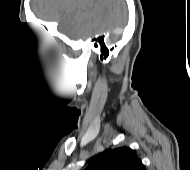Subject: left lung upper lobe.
Returning a JSON list of instances; mask_svg holds the SVG:
<instances>
[{"label": "left lung upper lobe", "instance_id": "5c2ea615", "mask_svg": "<svg viewBox=\"0 0 190 170\" xmlns=\"http://www.w3.org/2000/svg\"><path fill=\"white\" fill-rule=\"evenodd\" d=\"M86 170H146L136 152L128 147L108 149L95 156Z\"/></svg>", "mask_w": 190, "mask_h": 170}]
</instances>
